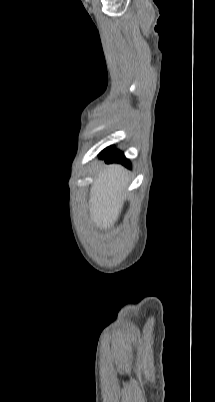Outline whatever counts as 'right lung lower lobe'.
I'll use <instances>...</instances> for the list:
<instances>
[{
	"label": "right lung lower lobe",
	"mask_w": 215,
	"mask_h": 402,
	"mask_svg": "<svg viewBox=\"0 0 215 402\" xmlns=\"http://www.w3.org/2000/svg\"><path fill=\"white\" fill-rule=\"evenodd\" d=\"M100 156L107 163L118 162V163L125 165L128 168L131 167L130 161L125 158V156L123 155V153L121 151L116 150L114 147L106 148L105 150L102 151Z\"/></svg>",
	"instance_id": "right-lung-lower-lobe-1"
}]
</instances>
